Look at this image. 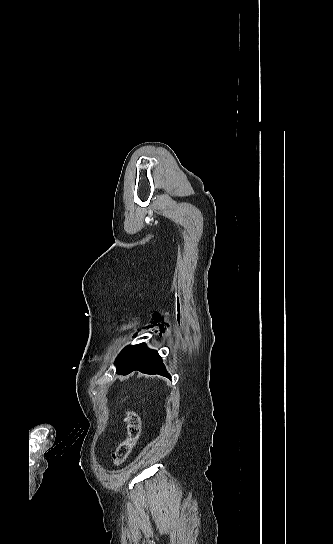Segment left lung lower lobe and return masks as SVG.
Instances as JSON below:
<instances>
[{
  "label": "left lung lower lobe",
  "instance_id": "1",
  "mask_svg": "<svg viewBox=\"0 0 333 544\" xmlns=\"http://www.w3.org/2000/svg\"><path fill=\"white\" fill-rule=\"evenodd\" d=\"M117 373L127 375L134 370L146 374H160L170 378L157 351L144 345L125 349L116 361Z\"/></svg>",
  "mask_w": 333,
  "mask_h": 544
}]
</instances>
